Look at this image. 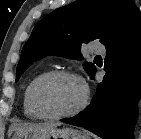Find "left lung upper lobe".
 I'll return each mask as SVG.
<instances>
[{
    "label": "left lung upper lobe",
    "mask_w": 141,
    "mask_h": 139,
    "mask_svg": "<svg viewBox=\"0 0 141 139\" xmlns=\"http://www.w3.org/2000/svg\"><path fill=\"white\" fill-rule=\"evenodd\" d=\"M140 20L141 13L133 0H76L60 7L34 27L22 49L16 81L34 61L46 55L82 60L83 43L99 39L105 45ZM84 68L91 75L96 69L88 62Z\"/></svg>",
    "instance_id": "5c2ea615"
}]
</instances>
